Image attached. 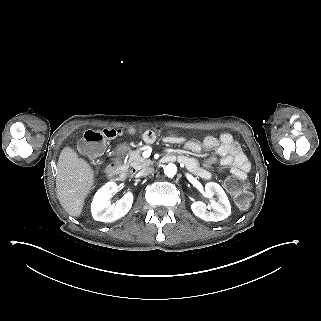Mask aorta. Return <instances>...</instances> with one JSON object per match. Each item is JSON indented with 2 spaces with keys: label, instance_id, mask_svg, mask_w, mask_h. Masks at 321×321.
Listing matches in <instances>:
<instances>
[{
  "label": "aorta",
  "instance_id": "obj_1",
  "mask_svg": "<svg viewBox=\"0 0 321 321\" xmlns=\"http://www.w3.org/2000/svg\"><path fill=\"white\" fill-rule=\"evenodd\" d=\"M176 172H177V167L173 163H169L164 168V173L167 177H171V178L174 177Z\"/></svg>",
  "mask_w": 321,
  "mask_h": 321
}]
</instances>
